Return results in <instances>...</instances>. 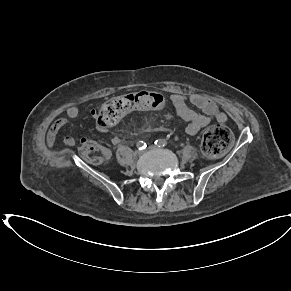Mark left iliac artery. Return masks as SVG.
Listing matches in <instances>:
<instances>
[{
  "mask_svg": "<svg viewBox=\"0 0 291 291\" xmlns=\"http://www.w3.org/2000/svg\"><path fill=\"white\" fill-rule=\"evenodd\" d=\"M154 144L158 147H164L167 145V141L165 139H158L154 142Z\"/></svg>",
  "mask_w": 291,
  "mask_h": 291,
  "instance_id": "44dca946",
  "label": "left iliac artery"
}]
</instances>
